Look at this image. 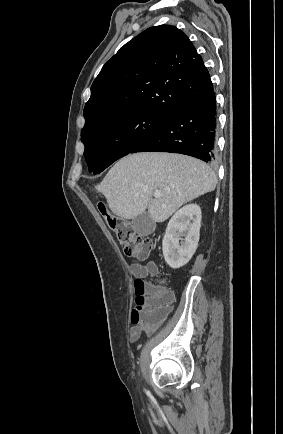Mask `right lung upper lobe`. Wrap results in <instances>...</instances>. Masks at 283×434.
Wrapping results in <instances>:
<instances>
[{"label": "right lung upper lobe", "instance_id": "cb5924a9", "mask_svg": "<svg viewBox=\"0 0 283 434\" xmlns=\"http://www.w3.org/2000/svg\"><path fill=\"white\" fill-rule=\"evenodd\" d=\"M212 90L209 72L189 38L171 25L151 27L104 64L84 107L82 130L135 111L171 116Z\"/></svg>", "mask_w": 283, "mask_h": 434}]
</instances>
